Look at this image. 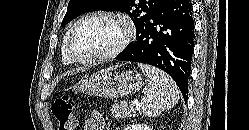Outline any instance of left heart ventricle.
I'll list each match as a JSON object with an SVG mask.
<instances>
[{"mask_svg": "<svg viewBox=\"0 0 249 130\" xmlns=\"http://www.w3.org/2000/svg\"><path fill=\"white\" fill-rule=\"evenodd\" d=\"M124 33L123 24L116 19H88L77 28L71 42V51L81 58L108 52L121 41Z\"/></svg>", "mask_w": 249, "mask_h": 130, "instance_id": "b2bd125f", "label": "left heart ventricle"}]
</instances>
